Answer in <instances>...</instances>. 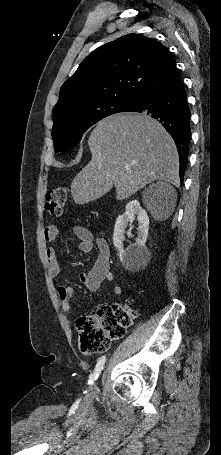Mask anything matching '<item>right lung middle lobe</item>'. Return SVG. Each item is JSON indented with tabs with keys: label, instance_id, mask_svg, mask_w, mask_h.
Here are the masks:
<instances>
[{
	"label": "right lung middle lobe",
	"instance_id": "obj_1",
	"mask_svg": "<svg viewBox=\"0 0 221 455\" xmlns=\"http://www.w3.org/2000/svg\"><path fill=\"white\" fill-rule=\"evenodd\" d=\"M130 103L119 99L107 100L55 120L52 129L55 152L75 147L87 129L109 115L123 112Z\"/></svg>",
	"mask_w": 221,
	"mask_h": 455
}]
</instances>
